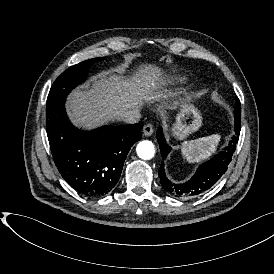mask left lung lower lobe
I'll return each instance as SVG.
<instances>
[{"mask_svg":"<svg viewBox=\"0 0 274 274\" xmlns=\"http://www.w3.org/2000/svg\"><path fill=\"white\" fill-rule=\"evenodd\" d=\"M235 133L228 146L211 160L202 164L195 175L184 184H174L165 175L163 165L160 166L158 174L163 188L176 197H196L206 193L226 172L236 149L241 129V105L235 106ZM157 140L160 145L162 157H167L171 147L165 141L162 128L157 131Z\"/></svg>","mask_w":274,"mask_h":274,"instance_id":"obj_1","label":"left lung lower lobe"}]
</instances>
